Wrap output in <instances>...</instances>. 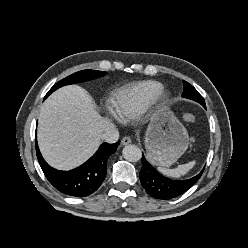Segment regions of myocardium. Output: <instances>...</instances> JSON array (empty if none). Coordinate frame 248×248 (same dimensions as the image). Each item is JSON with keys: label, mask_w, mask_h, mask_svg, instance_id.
<instances>
[{"label": "myocardium", "mask_w": 248, "mask_h": 248, "mask_svg": "<svg viewBox=\"0 0 248 248\" xmlns=\"http://www.w3.org/2000/svg\"><path fill=\"white\" fill-rule=\"evenodd\" d=\"M169 97V94L167 91H165L163 88L160 89V91L157 93L156 97H155V101H158V102H166L167 99Z\"/></svg>", "instance_id": "myocardium-1"}]
</instances>
